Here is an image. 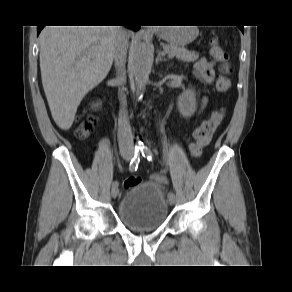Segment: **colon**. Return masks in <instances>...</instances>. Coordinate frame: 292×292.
I'll use <instances>...</instances> for the list:
<instances>
[{
    "instance_id": "1",
    "label": "colon",
    "mask_w": 292,
    "mask_h": 292,
    "mask_svg": "<svg viewBox=\"0 0 292 292\" xmlns=\"http://www.w3.org/2000/svg\"><path fill=\"white\" fill-rule=\"evenodd\" d=\"M210 54L214 60L221 64V72L216 79V88L221 93H226L231 83L228 78V55L226 51L218 44L216 40L211 42ZM225 117V111L223 109L212 112L211 116L202 122V124L194 131V142L190 145V152L192 156L198 157L202 154L203 149L209 145L213 135L223 121ZM95 120L93 116L87 115L82 119L76 129V135L78 138H86L94 128ZM140 178L137 176H131L127 178L123 186L128 189L135 185L140 184Z\"/></svg>"
}]
</instances>
